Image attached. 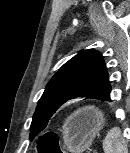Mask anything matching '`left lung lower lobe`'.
Masks as SVG:
<instances>
[{"instance_id":"left-lung-lower-lobe-1","label":"left lung lower lobe","mask_w":130,"mask_h":153,"mask_svg":"<svg viewBox=\"0 0 130 153\" xmlns=\"http://www.w3.org/2000/svg\"><path fill=\"white\" fill-rule=\"evenodd\" d=\"M110 91H111V86L109 85L107 91H106L105 94L101 97L100 100H103V101H105V100L111 101V99H110Z\"/></svg>"}]
</instances>
